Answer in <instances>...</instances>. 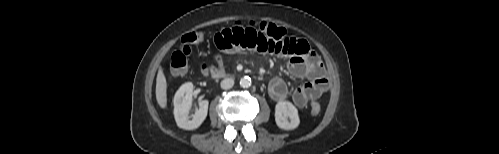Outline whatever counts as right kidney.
I'll return each instance as SVG.
<instances>
[{
  "instance_id": "1",
  "label": "right kidney",
  "mask_w": 499,
  "mask_h": 154,
  "mask_svg": "<svg viewBox=\"0 0 499 154\" xmlns=\"http://www.w3.org/2000/svg\"><path fill=\"white\" fill-rule=\"evenodd\" d=\"M193 84H183L174 96V117L178 127L185 130L198 128L205 120L208 112L209 102L202 100L199 102V109L196 110L192 120H189L188 113L192 106Z\"/></svg>"
}]
</instances>
